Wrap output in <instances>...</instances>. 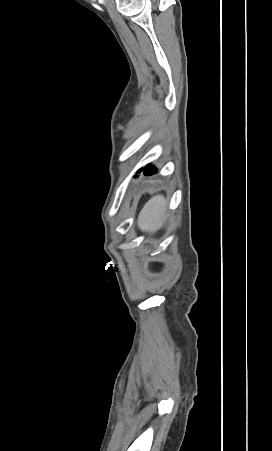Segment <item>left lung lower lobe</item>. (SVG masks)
<instances>
[{
    "label": "left lung lower lobe",
    "mask_w": 272,
    "mask_h": 451,
    "mask_svg": "<svg viewBox=\"0 0 272 451\" xmlns=\"http://www.w3.org/2000/svg\"><path fill=\"white\" fill-rule=\"evenodd\" d=\"M143 171L145 175H153L157 172V169L154 168L152 165H147Z\"/></svg>",
    "instance_id": "left-lung-lower-lobe-1"
}]
</instances>
